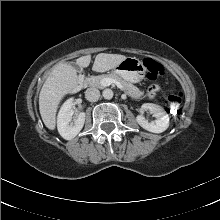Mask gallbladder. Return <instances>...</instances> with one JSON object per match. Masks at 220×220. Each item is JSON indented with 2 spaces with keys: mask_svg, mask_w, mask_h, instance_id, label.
Masks as SVG:
<instances>
[{
  "mask_svg": "<svg viewBox=\"0 0 220 220\" xmlns=\"http://www.w3.org/2000/svg\"><path fill=\"white\" fill-rule=\"evenodd\" d=\"M77 71H79L80 70V68H79V66L78 65H76V64H73L72 65Z\"/></svg>",
  "mask_w": 220,
  "mask_h": 220,
  "instance_id": "gallbladder-1",
  "label": "gallbladder"
}]
</instances>
